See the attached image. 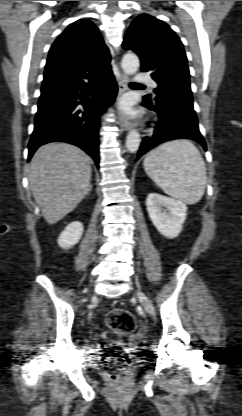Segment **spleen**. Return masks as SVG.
I'll list each match as a JSON object with an SVG mask.
<instances>
[{"label":"spleen","mask_w":242,"mask_h":416,"mask_svg":"<svg viewBox=\"0 0 242 416\" xmlns=\"http://www.w3.org/2000/svg\"><path fill=\"white\" fill-rule=\"evenodd\" d=\"M146 174L166 194L193 205L204 195L206 167L188 140H173L151 150L143 162Z\"/></svg>","instance_id":"spleen-1"}]
</instances>
